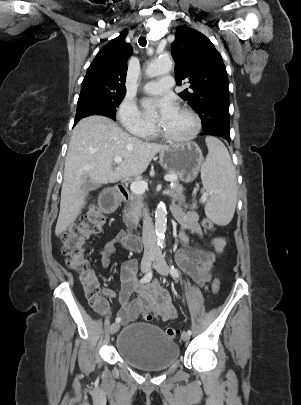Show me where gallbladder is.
I'll list each match as a JSON object with an SVG mask.
<instances>
[{"instance_id": "gallbladder-1", "label": "gallbladder", "mask_w": 301, "mask_h": 405, "mask_svg": "<svg viewBox=\"0 0 301 405\" xmlns=\"http://www.w3.org/2000/svg\"><path fill=\"white\" fill-rule=\"evenodd\" d=\"M99 187V184H92L89 182H85L82 186V191L84 192L85 196L91 191Z\"/></svg>"}]
</instances>
